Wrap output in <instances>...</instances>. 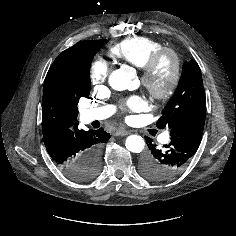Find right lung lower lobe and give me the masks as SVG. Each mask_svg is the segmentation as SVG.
Instances as JSON below:
<instances>
[{
	"label": "right lung lower lobe",
	"instance_id": "98d812e1",
	"mask_svg": "<svg viewBox=\"0 0 236 236\" xmlns=\"http://www.w3.org/2000/svg\"><path fill=\"white\" fill-rule=\"evenodd\" d=\"M110 134L102 128L98 130H80L78 125L72 129L57 130L43 135L46 150L53 161L71 178L75 174L76 181H81L79 175L81 166L90 155L99 154L100 147L108 141Z\"/></svg>",
	"mask_w": 236,
	"mask_h": 236
}]
</instances>
